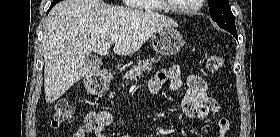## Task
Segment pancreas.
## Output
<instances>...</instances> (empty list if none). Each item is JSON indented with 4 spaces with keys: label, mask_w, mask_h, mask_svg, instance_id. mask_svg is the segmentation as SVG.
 <instances>
[{
    "label": "pancreas",
    "mask_w": 280,
    "mask_h": 137,
    "mask_svg": "<svg viewBox=\"0 0 280 137\" xmlns=\"http://www.w3.org/2000/svg\"><path fill=\"white\" fill-rule=\"evenodd\" d=\"M155 62H158V60L156 61L154 58L138 61L137 65L132 66L123 76L126 85H128L129 81L136 80L137 77H141L144 71L150 72L152 64ZM122 86L124 87V84H122Z\"/></svg>",
    "instance_id": "obj_1"
}]
</instances>
